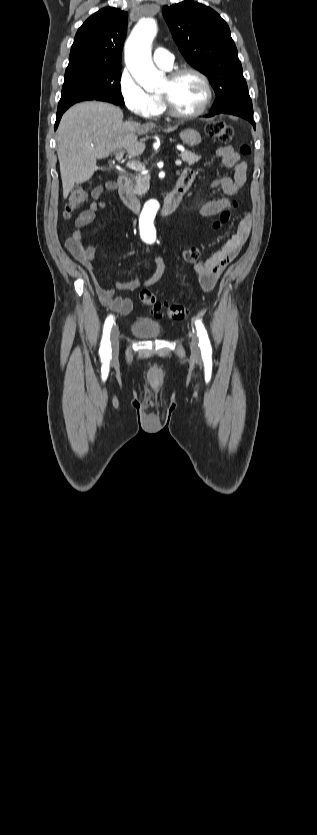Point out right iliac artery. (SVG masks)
I'll list each match as a JSON object with an SVG mask.
<instances>
[{"label": "right iliac artery", "mask_w": 317, "mask_h": 835, "mask_svg": "<svg viewBox=\"0 0 317 835\" xmlns=\"http://www.w3.org/2000/svg\"><path fill=\"white\" fill-rule=\"evenodd\" d=\"M114 319L113 315H109L104 323L103 329V337L101 340L100 346V356L103 360H109L111 357V343H110V331L113 325Z\"/></svg>", "instance_id": "82829eb1"}]
</instances>
